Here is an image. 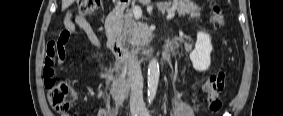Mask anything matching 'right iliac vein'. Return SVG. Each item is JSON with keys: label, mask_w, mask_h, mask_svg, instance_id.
I'll return each mask as SVG.
<instances>
[{"label": "right iliac vein", "mask_w": 283, "mask_h": 116, "mask_svg": "<svg viewBox=\"0 0 283 116\" xmlns=\"http://www.w3.org/2000/svg\"><path fill=\"white\" fill-rule=\"evenodd\" d=\"M137 112H138L137 107H135V106L131 107V115L132 116H136Z\"/></svg>", "instance_id": "obj_1"}]
</instances>
